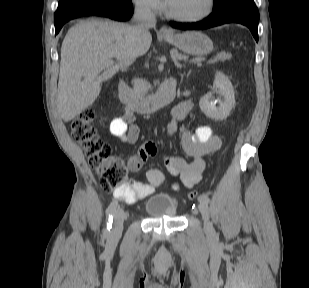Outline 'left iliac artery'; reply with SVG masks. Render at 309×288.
I'll return each instance as SVG.
<instances>
[{"label":"left iliac artery","mask_w":309,"mask_h":288,"mask_svg":"<svg viewBox=\"0 0 309 288\" xmlns=\"http://www.w3.org/2000/svg\"><path fill=\"white\" fill-rule=\"evenodd\" d=\"M199 201H205L206 203L209 202V198L206 194H203L201 195L199 198H198Z\"/></svg>","instance_id":"44dca946"}]
</instances>
